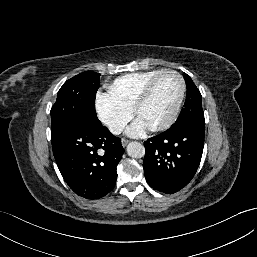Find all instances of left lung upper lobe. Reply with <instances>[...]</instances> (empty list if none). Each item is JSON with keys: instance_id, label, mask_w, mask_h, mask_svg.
<instances>
[{"instance_id": "left-lung-upper-lobe-1", "label": "left lung upper lobe", "mask_w": 257, "mask_h": 257, "mask_svg": "<svg viewBox=\"0 0 257 257\" xmlns=\"http://www.w3.org/2000/svg\"><path fill=\"white\" fill-rule=\"evenodd\" d=\"M187 84V97L184 108L176 122L171 127H176L188 122H204V113L202 110L201 93L195 86L194 82L186 73L183 74Z\"/></svg>"}]
</instances>
